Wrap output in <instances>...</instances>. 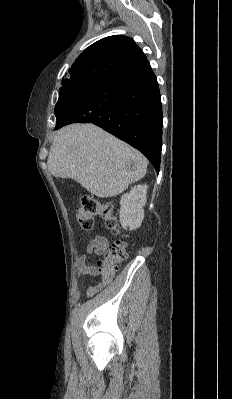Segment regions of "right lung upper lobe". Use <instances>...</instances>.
<instances>
[{
	"instance_id": "1",
	"label": "right lung upper lobe",
	"mask_w": 232,
	"mask_h": 399,
	"mask_svg": "<svg viewBox=\"0 0 232 399\" xmlns=\"http://www.w3.org/2000/svg\"><path fill=\"white\" fill-rule=\"evenodd\" d=\"M146 60L136 43L126 36H109L89 46L72 64L62 85L79 78L107 79Z\"/></svg>"
}]
</instances>
